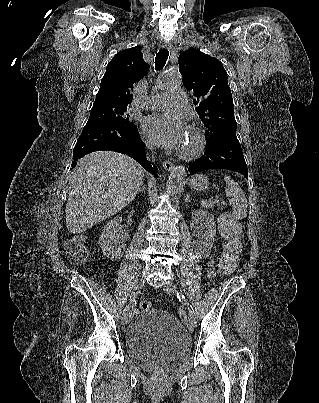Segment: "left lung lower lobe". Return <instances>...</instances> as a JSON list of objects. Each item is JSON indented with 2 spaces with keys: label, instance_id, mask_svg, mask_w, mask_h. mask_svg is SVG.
Instances as JSON below:
<instances>
[{
  "label": "left lung lower lobe",
  "instance_id": "1",
  "mask_svg": "<svg viewBox=\"0 0 319 403\" xmlns=\"http://www.w3.org/2000/svg\"><path fill=\"white\" fill-rule=\"evenodd\" d=\"M206 169H227L243 174L248 178V169L245 162L236 132L210 144L207 143L202 157L189 164L191 175Z\"/></svg>",
  "mask_w": 319,
  "mask_h": 403
}]
</instances>
